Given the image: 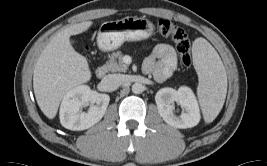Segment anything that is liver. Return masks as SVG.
Returning a JSON list of instances; mask_svg holds the SVG:
<instances>
[{"mask_svg":"<svg viewBox=\"0 0 267 166\" xmlns=\"http://www.w3.org/2000/svg\"><path fill=\"white\" fill-rule=\"evenodd\" d=\"M91 21L72 25L61 32L44 48L34 68L33 88L41 111L53 119L63 97L76 86L91 78L87 59L70 44V36L88 30Z\"/></svg>","mask_w":267,"mask_h":166,"instance_id":"1","label":"liver"}]
</instances>
